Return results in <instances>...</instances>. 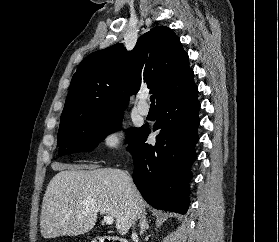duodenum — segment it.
Returning a JSON list of instances; mask_svg holds the SVG:
<instances>
[{"mask_svg": "<svg viewBox=\"0 0 279 242\" xmlns=\"http://www.w3.org/2000/svg\"><path fill=\"white\" fill-rule=\"evenodd\" d=\"M95 242H127V241L118 237L99 236L96 238Z\"/></svg>", "mask_w": 279, "mask_h": 242, "instance_id": "1", "label": "duodenum"}]
</instances>
